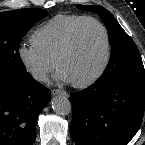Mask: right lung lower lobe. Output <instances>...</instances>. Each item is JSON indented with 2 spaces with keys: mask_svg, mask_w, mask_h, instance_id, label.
<instances>
[{
  "mask_svg": "<svg viewBox=\"0 0 145 145\" xmlns=\"http://www.w3.org/2000/svg\"><path fill=\"white\" fill-rule=\"evenodd\" d=\"M50 101V92L28 73L0 82V145H31L36 120Z\"/></svg>",
  "mask_w": 145,
  "mask_h": 145,
  "instance_id": "right-lung-lower-lobe-1",
  "label": "right lung lower lobe"
}]
</instances>
